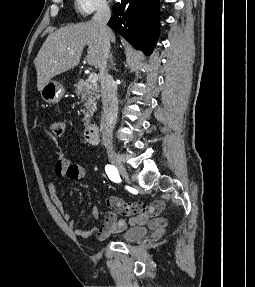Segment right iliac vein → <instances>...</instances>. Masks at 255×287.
<instances>
[{"instance_id": "1", "label": "right iliac vein", "mask_w": 255, "mask_h": 287, "mask_svg": "<svg viewBox=\"0 0 255 287\" xmlns=\"http://www.w3.org/2000/svg\"><path fill=\"white\" fill-rule=\"evenodd\" d=\"M107 154H108V158H109L110 162L117 168V170L120 172V174L126 180H129L126 168L124 167L123 163L121 162V160L118 157V155L116 154V152L113 149H108Z\"/></svg>"}]
</instances>
